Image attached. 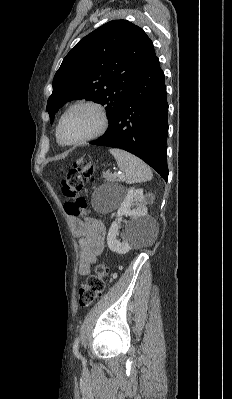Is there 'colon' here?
Masks as SVG:
<instances>
[{
	"label": "colon",
	"mask_w": 232,
	"mask_h": 399,
	"mask_svg": "<svg viewBox=\"0 0 232 399\" xmlns=\"http://www.w3.org/2000/svg\"><path fill=\"white\" fill-rule=\"evenodd\" d=\"M72 175H64L62 180L61 190L66 191L70 196H83L82 191V175L86 172L87 175H94V170H91V156H86V160H82V157L74 158ZM65 212H68L69 218H86L87 198H74V203H64ZM97 268H102V263H97ZM90 274L94 276H88L86 278V284H82L81 289V309H86V302L90 303V308H95V304L98 300H101V291L103 287H107V274H113V267L109 266L108 269H95L90 267ZM102 275H101V274Z\"/></svg>",
	"instance_id": "1"
}]
</instances>
